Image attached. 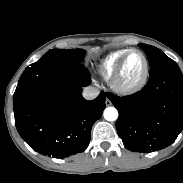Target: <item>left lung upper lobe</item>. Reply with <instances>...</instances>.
<instances>
[{
	"label": "left lung upper lobe",
	"mask_w": 183,
	"mask_h": 183,
	"mask_svg": "<svg viewBox=\"0 0 183 183\" xmlns=\"http://www.w3.org/2000/svg\"><path fill=\"white\" fill-rule=\"evenodd\" d=\"M138 46L144 50L148 57L150 64V75L155 74L163 69L177 66L176 62L166 56L165 53L160 49L147 44H138Z\"/></svg>",
	"instance_id": "left-lung-upper-lobe-1"
}]
</instances>
